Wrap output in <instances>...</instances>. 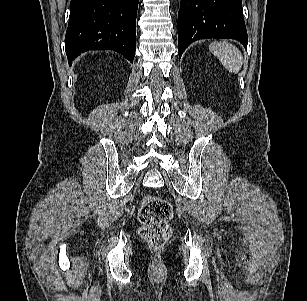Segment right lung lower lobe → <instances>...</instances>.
<instances>
[{
	"label": "right lung lower lobe",
	"mask_w": 307,
	"mask_h": 301,
	"mask_svg": "<svg viewBox=\"0 0 307 301\" xmlns=\"http://www.w3.org/2000/svg\"><path fill=\"white\" fill-rule=\"evenodd\" d=\"M139 0H71L65 48L69 64L88 50L113 49L133 62Z\"/></svg>",
	"instance_id": "98d812e1"
}]
</instances>
